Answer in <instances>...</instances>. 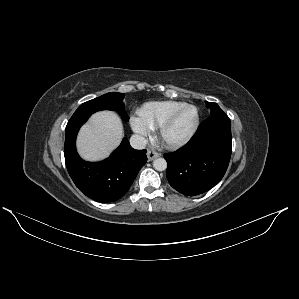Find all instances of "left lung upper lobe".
Here are the masks:
<instances>
[{
	"mask_svg": "<svg viewBox=\"0 0 299 299\" xmlns=\"http://www.w3.org/2000/svg\"><path fill=\"white\" fill-rule=\"evenodd\" d=\"M207 108L211 109V115H223L225 114L217 103L206 102Z\"/></svg>",
	"mask_w": 299,
	"mask_h": 299,
	"instance_id": "obj_1",
	"label": "left lung upper lobe"
}]
</instances>
